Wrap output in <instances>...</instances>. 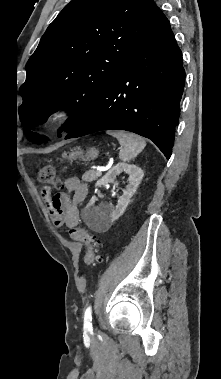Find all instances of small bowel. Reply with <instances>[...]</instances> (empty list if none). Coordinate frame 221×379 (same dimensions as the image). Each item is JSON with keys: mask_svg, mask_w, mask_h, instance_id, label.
Instances as JSON below:
<instances>
[{"mask_svg": "<svg viewBox=\"0 0 221 379\" xmlns=\"http://www.w3.org/2000/svg\"><path fill=\"white\" fill-rule=\"evenodd\" d=\"M64 186L66 192L60 193V190H49V194L48 192L45 194V199L48 202L54 224L74 228L80 221L78 205L86 198L88 188L77 177L67 178Z\"/></svg>", "mask_w": 221, "mask_h": 379, "instance_id": "1", "label": "small bowel"}]
</instances>
